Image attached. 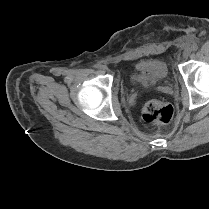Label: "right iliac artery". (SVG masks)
<instances>
[{
	"instance_id": "obj_1",
	"label": "right iliac artery",
	"mask_w": 209,
	"mask_h": 209,
	"mask_svg": "<svg viewBox=\"0 0 209 209\" xmlns=\"http://www.w3.org/2000/svg\"><path fill=\"white\" fill-rule=\"evenodd\" d=\"M95 68H101V65L96 64V65H95Z\"/></svg>"
}]
</instances>
